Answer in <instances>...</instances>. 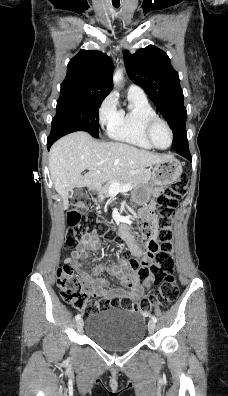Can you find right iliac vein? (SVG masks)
Listing matches in <instances>:
<instances>
[{"mask_svg":"<svg viewBox=\"0 0 228 396\" xmlns=\"http://www.w3.org/2000/svg\"><path fill=\"white\" fill-rule=\"evenodd\" d=\"M83 325H84L83 320H82V319L78 320V322H77V324H76V328H77V331H78V332H81V331H82Z\"/></svg>","mask_w":228,"mask_h":396,"instance_id":"1","label":"right iliac vein"}]
</instances>
